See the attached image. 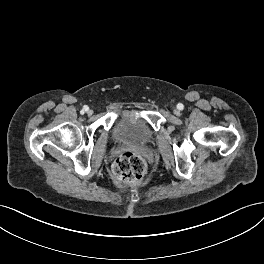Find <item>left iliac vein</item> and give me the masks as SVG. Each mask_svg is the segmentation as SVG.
Here are the masks:
<instances>
[{
	"label": "left iliac vein",
	"instance_id": "obj_1",
	"mask_svg": "<svg viewBox=\"0 0 264 264\" xmlns=\"http://www.w3.org/2000/svg\"><path fill=\"white\" fill-rule=\"evenodd\" d=\"M174 114L178 116V115H180V111L177 110V109H175V110H174Z\"/></svg>",
	"mask_w": 264,
	"mask_h": 264
}]
</instances>
